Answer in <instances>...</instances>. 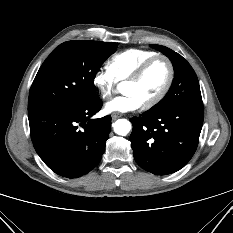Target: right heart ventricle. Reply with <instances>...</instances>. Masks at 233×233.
<instances>
[{"label": "right heart ventricle", "instance_id": "obj_1", "mask_svg": "<svg viewBox=\"0 0 233 233\" xmlns=\"http://www.w3.org/2000/svg\"><path fill=\"white\" fill-rule=\"evenodd\" d=\"M157 52L146 49H128L114 55L107 68L117 82L125 81L147 59Z\"/></svg>", "mask_w": 233, "mask_h": 233}]
</instances>
